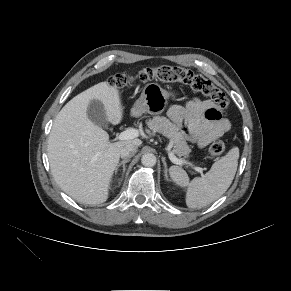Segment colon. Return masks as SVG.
I'll list each match as a JSON object with an SVG mask.
<instances>
[{
    "label": "colon",
    "instance_id": "5ec220e1",
    "mask_svg": "<svg viewBox=\"0 0 291 291\" xmlns=\"http://www.w3.org/2000/svg\"><path fill=\"white\" fill-rule=\"evenodd\" d=\"M141 82L162 81V82H180L190 86L194 91L209 97L220 109H227L229 101L218 87L201 75L195 74L190 70L173 67L159 66L144 68L138 76ZM134 79L124 74H116L111 77V85L123 88L133 83ZM225 150V144L222 140L214 141L209 147V153L212 156H219Z\"/></svg>",
    "mask_w": 291,
    "mask_h": 291
}]
</instances>
